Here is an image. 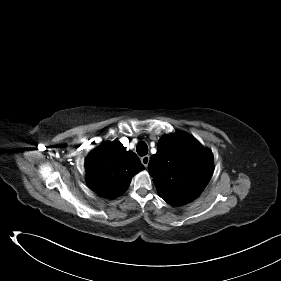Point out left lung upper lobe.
Segmentation results:
<instances>
[{
	"mask_svg": "<svg viewBox=\"0 0 281 281\" xmlns=\"http://www.w3.org/2000/svg\"><path fill=\"white\" fill-rule=\"evenodd\" d=\"M213 168L212 152L185 132L162 136L148 165L159 196L174 206L196 199L210 181Z\"/></svg>",
	"mask_w": 281,
	"mask_h": 281,
	"instance_id": "1",
	"label": "left lung upper lobe"
}]
</instances>
